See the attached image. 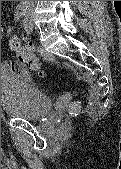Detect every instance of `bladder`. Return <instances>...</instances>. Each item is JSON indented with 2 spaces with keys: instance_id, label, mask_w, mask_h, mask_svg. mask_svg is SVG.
Returning <instances> with one entry per match:
<instances>
[{
  "instance_id": "bladder-1",
  "label": "bladder",
  "mask_w": 121,
  "mask_h": 169,
  "mask_svg": "<svg viewBox=\"0 0 121 169\" xmlns=\"http://www.w3.org/2000/svg\"><path fill=\"white\" fill-rule=\"evenodd\" d=\"M1 105L9 116L37 120L52 110L53 102L45 92L24 79L5 75L1 77Z\"/></svg>"
}]
</instances>
